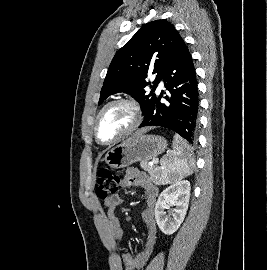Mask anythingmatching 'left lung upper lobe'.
<instances>
[{
  "mask_svg": "<svg viewBox=\"0 0 267 270\" xmlns=\"http://www.w3.org/2000/svg\"><path fill=\"white\" fill-rule=\"evenodd\" d=\"M181 40L178 31L166 20L144 24L115 54L101 89L99 105L108 96L124 92L140 103L145 114ZM150 69L153 74L157 73L153 85L146 82ZM147 85L152 88L150 93L144 90Z\"/></svg>",
  "mask_w": 267,
  "mask_h": 270,
  "instance_id": "obj_1",
  "label": "left lung upper lobe"
}]
</instances>
